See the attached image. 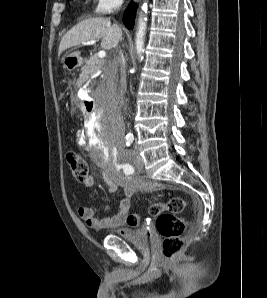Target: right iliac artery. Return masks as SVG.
Wrapping results in <instances>:
<instances>
[{
    "instance_id": "obj_1",
    "label": "right iliac artery",
    "mask_w": 267,
    "mask_h": 298,
    "mask_svg": "<svg viewBox=\"0 0 267 298\" xmlns=\"http://www.w3.org/2000/svg\"><path fill=\"white\" fill-rule=\"evenodd\" d=\"M133 141H134L133 135H127L126 136V145L127 146H130L133 143Z\"/></svg>"
}]
</instances>
